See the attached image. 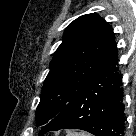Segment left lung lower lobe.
<instances>
[{"mask_svg": "<svg viewBox=\"0 0 136 136\" xmlns=\"http://www.w3.org/2000/svg\"><path fill=\"white\" fill-rule=\"evenodd\" d=\"M116 43L105 62L82 85L75 97L39 133L81 129L95 136H123L121 76L116 66Z\"/></svg>", "mask_w": 136, "mask_h": 136, "instance_id": "1", "label": "left lung lower lobe"}]
</instances>
